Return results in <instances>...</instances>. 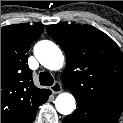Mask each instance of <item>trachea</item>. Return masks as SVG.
I'll return each mask as SVG.
<instances>
[{"instance_id":"1","label":"trachea","mask_w":123,"mask_h":123,"mask_svg":"<svg viewBox=\"0 0 123 123\" xmlns=\"http://www.w3.org/2000/svg\"><path fill=\"white\" fill-rule=\"evenodd\" d=\"M39 80L41 85L51 86L53 85L54 79L48 72H41L39 74Z\"/></svg>"}]
</instances>
